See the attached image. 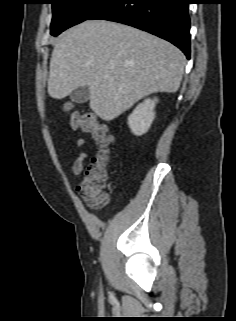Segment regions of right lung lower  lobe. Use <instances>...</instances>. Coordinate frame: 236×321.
Here are the masks:
<instances>
[{"label": "right lung lower lobe", "instance_id": "right-lung-lower-lobe-1", "mask_svg": "<svg viewBox=\"0 0 236 321\" xmlns=\"http://www.w3.org/2000/svg\"><path fill=\"white\" fill-rule=\"evenodd\" d=\"M189 0H110L88 19L115 21L161 37L190 58Z\"/></svg>", "mask_w": 236, "mask_h": 321}]
</instances>
